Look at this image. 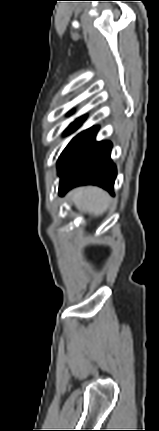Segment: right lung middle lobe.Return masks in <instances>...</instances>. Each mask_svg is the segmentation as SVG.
Masks as SVG:
<instances>
[{
	"label": "right lung middle lobe",
	"mask_w": 159,
	"mask_h": 431,
	"mask_svg": "<svg viewBox=\"0 0 159 431\" xmlns=\"http://www.w3.org/2000/svg\"><path fill=\"white\" fill-rule=\"evenodd\" d=\"M83 121L81 120H76L73 123L70 124V126L66 129L65 131V135H68L72 132H74L82 123Z\"/></svg>",
	"instance_id": "dd1d6c3e"
}]
</instances>
